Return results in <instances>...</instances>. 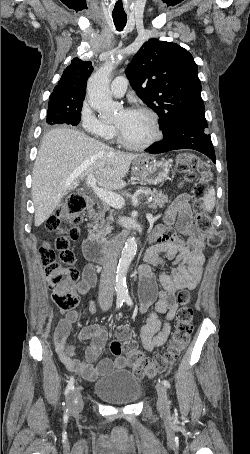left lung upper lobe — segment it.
<instances>
[{
    "mask_svg": "<svg viewBox=\"0 0 250 454\" xmlns=\"http://www.w3.org/2000/svg\"><path fill=\"white\" fill-rule=\"evenodd\" d=\"M197 69L187 50L156 39L144 43L128 65L132 88L158 114L164 135L185 119L204 116Z\"/></svg>",
    "mask_w": 250,
    "mask_h": 454,
    "instance_id": "left-lung-upper-lobe-1",
    "label": "left lung upper lobe"
}]
</instances>
